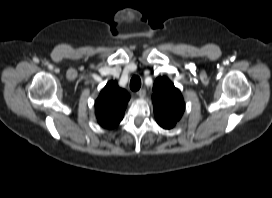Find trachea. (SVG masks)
<instances>
[{"mask_svg": "<svg viewBox=\"0 0 272 198\" xmlns=\"http://www.w3.org/2000/svg\"><path fill=\"white\" fill-rule=\"evenodd\" d=\"M141 87V79L138 76H133L130 81V89L132 91H138Z\"/></svg>", "mask_w": 272, "mask_h": 198, "instance_id": "trachea-1", "label": "trachea"}]
</instances>
